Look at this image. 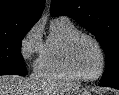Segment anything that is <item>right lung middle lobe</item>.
Listing matches in <instances>:
<instances>
[{
    "label": "right lung middle lobe",
    "instance_id": "obj_1",
    "mask_svg": "<svg viewBox=\"0 0 119 95\" xmlns=\"http://www.w3.org/2000/svg\"><path fill=\"white\" fill-rule=\"evenodd\" d=\"M31 25H13L0 29V73L27 75L21 55V40Z\"/></svg>",
    "mask_w": 119,
    "mask_h": 95
}]
</instances>
